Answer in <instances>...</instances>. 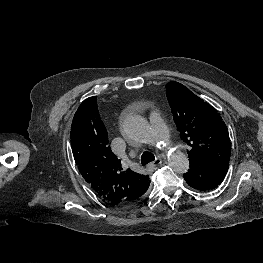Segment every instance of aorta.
<instances>
[{"label": "aorta", "instance_id": "762f6f07", "mask_svg": "<svg viewBox=\"0 0 263 263\" xmlns=\"http://www.w3.org/2000/svg\"><path fill=\"white\" fill-rule=\"evenodd\" d=\"M124 135L136 142L149 143L153 139L152 131L147 121L140 115H128L123 121ZM168 162L176 173H186L189 169L188 157L179 151L168 154Z\"/></svg>", "mask_w": 263, "mask_h": 263}]
</instances>
